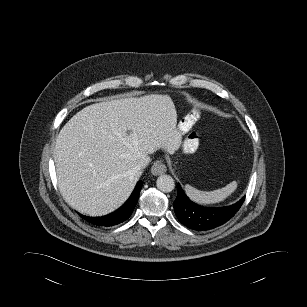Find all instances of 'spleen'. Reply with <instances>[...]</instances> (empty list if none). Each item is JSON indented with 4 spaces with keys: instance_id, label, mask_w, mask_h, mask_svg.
Wrapping results in <instances>:
<instances>
[{
    "instance_id": "1",
    "label": "spleen",
    "mask_w": 307,
    "mask_h": 307,
    "mask_svg": "<svg viewBox=\"0 0 307 307\" xmlns=\"http://www.w3.org/2000/svg\"><path fill=\"white\" fill-rule=\"evenodd\" d=\"M236 187H237V182L233 181L221 189L209 192L197 190L196 188L190 185H187L185 190L187 195L193 201L200 204H211L224 200L236 189Z\"/></svg>"
}]
</instances>
